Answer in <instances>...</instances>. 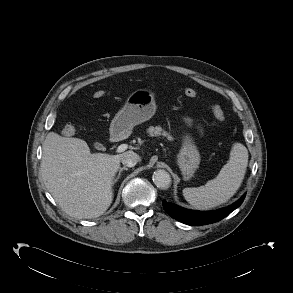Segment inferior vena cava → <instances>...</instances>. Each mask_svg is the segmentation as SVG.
<instances>
[{
	"label": "inferior vena cava",
	"mask_w": 293,
	"mask_h": 293,
	"mask_svg": "<svg viewBox=\"0 0 293 293\" xmlns=\"http://www.w3.org/2000/svg\"><path fill=\"white\" fill-rule=\"evenodd\" d=\"M138 161H139V156L136 153H134L133 151H128V152L124 153L121 158L122 164L127 167L135 166Z\"/></svg>",
	"instance_id": "obj_1"
}]
</instances>
